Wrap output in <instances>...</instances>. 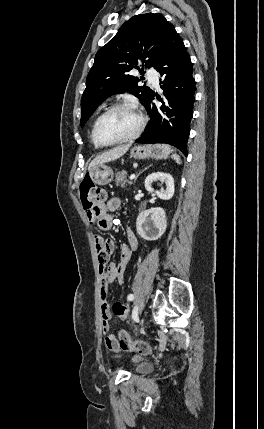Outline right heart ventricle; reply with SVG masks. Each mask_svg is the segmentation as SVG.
<instances>
[{"instance_id": "right-heart-ventricle-1", "label": "right heart ventricle", "mask_w": 264, "mask_h": 429, "mask_svg": "<svg viewBox=\"0 0 264 429\" xmlns=\"http://www.w3.org/2000/svg\"><path fill=\"white\" fill-rule=\"evenodd\" d=\"M91 139H92V137H91ZM92 143H93V145L97 148V147H100V146H98L94 141H93V139H92Z\"/></svg>"}]
</instances>
